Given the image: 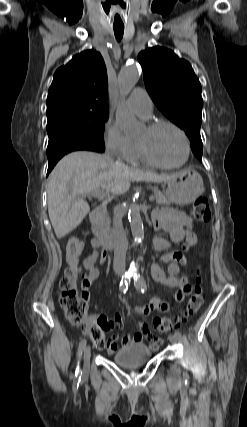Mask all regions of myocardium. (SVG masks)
Here are the masks:
<instances>
[{"mask_svg": "<svg viewBox=\"0 0 247 427\" xmlns=\"http://www.w3.org/2000/svg\"><path fill=\"white\" fill-rule=\"evenodd\" d=\"M161 127H170L172 129H174L182 138L183 143H184V157L183 159L177 163V164H164L161 163L157 160H155L152 155L150 154V152L148 151L146 145L143 142L138 141V147L140 150V153L143 157V159L150 165L158 167V168H162V169H178L181 168L182 166H184L190 156V142H189V138L187 136V134L185 133V131L179 127L177 124H175L174 122H171L169 120H159V121H155V122H151L147 125V130L149 132H153Z\"/></svg>", "mask_w": 247, "mask_h": 427, "instance_id": "f54148a6", "label": "myocardium"}]
</instances>
